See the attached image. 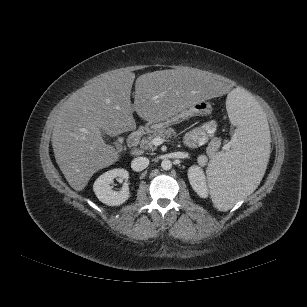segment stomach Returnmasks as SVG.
Returning <instances> with one entry per match:
<instances>
[{
  "instance_id": "1",
  "label": "stomach",
  "mask_w": 307,
  "mask_h": 307,
  "mask_svg": "<svg viewBox=\"0 0 307 307\" xmlns=\"http://www.w3.org/2000/svg\"><path fill=\"white\" fill-rule=\"evenodd\" d=\"M210 112H211V105L208 102H205L204 100H200L194 104L185 107L184 109H182L181 111L172 116L165 118L149 119L145 125V129L148 132H154L163 127H168L170 125L180 123L181 121H184L189 117L197 115H206L209 114Z\"/></svg>"
}]
</instances>
